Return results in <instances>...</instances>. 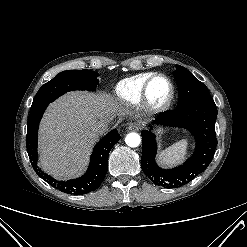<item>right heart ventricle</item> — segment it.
I'll return each mask as SVG.
<instances>
[{
  "mask_svg": "<svg viewBox=\"0 0 247 247\" xmlns=\"http://www.w3.org/2000/svg\"><path fill=\"white\" fill-rule=\"evenodd\" d=\"M152 75L153 73H141L121 80L114 89L116 99L128 106L139 104L143 87Z\"/></svg>",
  "mask_w": 247,
  "mask_h": 247,
  "instance_id": "obj_1",
  "label": "right heart ventricle"
}]
</instances>
